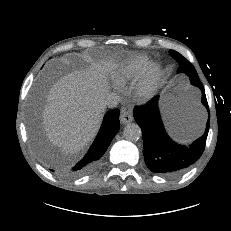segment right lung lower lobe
<instances>
[{"mask_svg": "<svg viewBox=\"0 0 231 231\" xmlns=\"http://www.w3.org/2000/svg\"><path fill=\"white\" fill-rule=\"evenodd\" d=\"M120 128L119 110L109 111L105 116L99 133L86 155L77 162L64 169V174L68 176H80L91 172L99 164V159L106 152L110 142Z\"/></svg>", "mask_w": 231, "mask_h": 231, "instance_id": "obj_1", "label": "right lung lower lobe"}]
</instances>
